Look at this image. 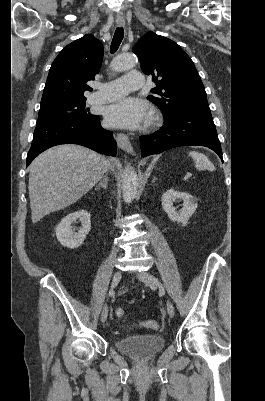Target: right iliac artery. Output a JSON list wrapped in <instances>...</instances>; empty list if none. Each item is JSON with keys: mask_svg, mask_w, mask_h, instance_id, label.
I'll return each mask as SVG.
<instances>
[{"mask_svg": "<svg viewBox=\"0 0 265 401\" xmlns=\"http://www.w3.org/2000/svg\"><path fill=\"white\" fill-rule=\"evenodd\" d=\"M113 294V291L111 290L110 292H109V295H112Z\"/></svg>", "mask_w": 265, "mask_h": 401, "instance_id": "obj_1", "label": "right iliac artery"}]
</instances>
